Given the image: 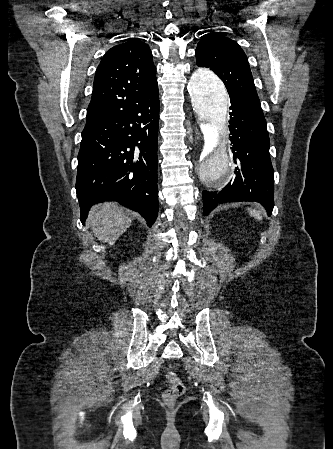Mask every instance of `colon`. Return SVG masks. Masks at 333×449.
Here are the masks:
<instances>
[{"label":"colon","instance_id":"colon-1","mask_svg":"<svg viewBox=\"0 0 333 449\" xmlns=\"http://www.w3.org/2000/svg\"><path fill=\"white\" fill-rule=\"evenodd\" d=\"M166 379L168 386L164 392L163 398L166 404L171 405L181 397L184 393L185 387L182 380L174 372L169 371L166 374Z\"/></svg>","mask_w":333,"mask_h":449}]
</instances>
